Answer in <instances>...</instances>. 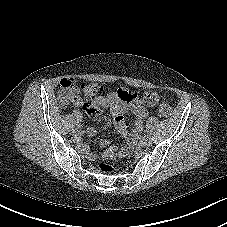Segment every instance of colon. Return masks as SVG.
I'll list each match as a JSON object with an SVG mask.
<instances>
[{
    "label": "colon",
    "mask_w": 227,
    "mask_h": 227,
    "mask_svg": "<svg viewBox=\"0 0 227 227\" xmlns=\"http://www.w3.org/2000/svg\"><path fill=\"white\" fill-rule=\"evenodd\" d=\"M103 90V87L96 83H87L79 85L73 78H64L60 81L58 99L61 106L66 107L71 102L80 98L79 94H83L85 99H93ZM141 101L149 106H154L158 103L159 114L162 118H168L171 115V107L166 102H161L159 94L153 91H146L140 96ZM101 172L111 173L114 168L105 163L101 162L98 165Z\"/></svg>",
    "instance_id": "1"
}]
</instances>
